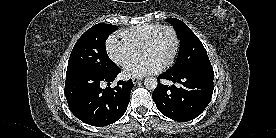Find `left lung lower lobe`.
I'll return each instance as SVG.
<instances>
[{
	"instance_id": "1",
	"label": "left lung lower lobe",
	"mask_w": 276,
	"mask_h": 138,
	"mask_svg": "<svg viewBox=\"0 0 276 138\" xmlns=\"http://www.w3.org/2000/svg\"><path fill=\"white\" fill-rule=\"evenodd\" d=\"M159 78L170 80L173 85L158 83L152 94L153 100L163 115L175 121L186 122L196 118L212 98L213 69L182 74L167 70Z\"/></svg>"
}]
</instances>
